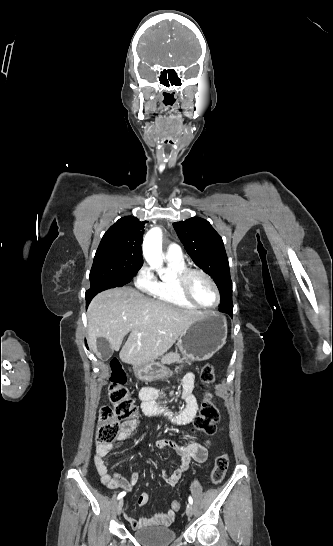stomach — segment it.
<instances>
[{
    "label": "stomach",
    "mask_w": 333,
    "mask_h": 546,
    "mask_svg": "<svg viewBox=\"0 0 333 546\" xmlns=\"http://www.w3.org/2000/svg\"><path fill=\"white\" fill-rule=\"evenodd\" d=\"M227 321L223 315L210 312L192 323L179 337L178 347L185 363L206 361L226 343ZM136 378L151 382L163 379L172 372L161 362L133 365ZM177 370V369H176Z\"/></svg>",
    "instance_id": "stomach-1"
}]
</instances>
